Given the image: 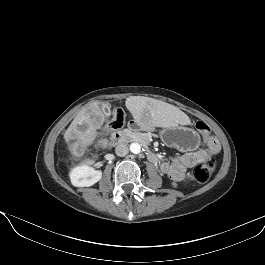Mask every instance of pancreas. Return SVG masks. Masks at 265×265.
<instances>
[{"mask_svg":"<svg viewBox=\"0 0 265 265\" xmlns=\"http://www.w3.org/2000/svg\"><path fill=\"white\" fill-rule=\"evenodd\" d=\"M130 137L135 141L141 142L144 145H148L150 138L147 134H142L138 132H131Z\"/></svg>","mask_w":265,"mask_h":265,"instance_id":"obj_1","label":"pancreas"}]
</instances>
